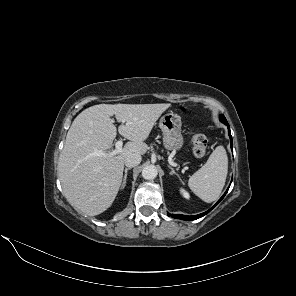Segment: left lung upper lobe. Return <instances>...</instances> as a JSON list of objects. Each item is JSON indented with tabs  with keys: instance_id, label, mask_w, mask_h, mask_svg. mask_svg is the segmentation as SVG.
<instances>
[{
	"instance_id": "left-lung-upper-lobe-1",
	"label": "left lung upper lobe",
	"mask_w": 296,
	"mask_h": 296,
	"mask_svg": "<svg viewBox=\"0 0 296 296\" xmlns=\"http://www.w3.org/2000/svg\"><path fill=\"white\" fill-rule=\"evenodd\" d=\"M224 119H226V118L224 117V115L220 116V120H224Z\"/></svg>"
}]
</instances>
